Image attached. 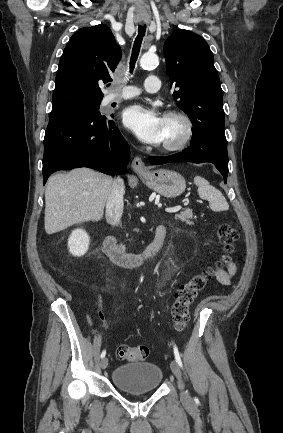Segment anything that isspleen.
I'll list each match as a JSON object with an SVG mask.
<instances>
[{
	"mask_svg": "<svg viewBox=\"0 0 283 433\" xmlns=\"http://www.w3.org/2000/svg\"><path fill=\"white\" fill-rule=\"evenodd\" d=\"M194 182L198 186L200 198L209 200L210 208L218 212V210H228L229 204L220 190L212 186L203 176H194Z\"/></svg>",
	"mask_w": 283,
	"mask_h": 433,
	"instance_id": "3e777b00",
	"label": "spleen"
}]
</instances>
